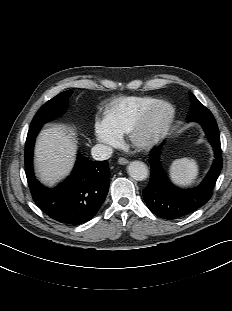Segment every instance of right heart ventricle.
<instances>
[{
    "label": "right heart ventricle",
    "mask_w": 232,
    "mask_h": 311,
    "mask_svg": "<svg viewBox=\"0 0 232 311\" xmlns=\"http://www.w3.org/2000/svg\"><path fill=\"white\" fill-rule=\"evenodd\" d=\"M156 101L152 96L119 98L108 108L104 120L118 136L127 134L141 113Z\"/></svg>",
    "instance_id": "right-heart-ventricle-1"
}]
</instances>
